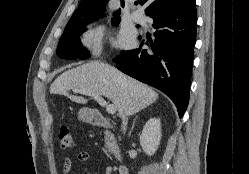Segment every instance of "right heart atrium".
Here are the masks:
<instances>
[{
	"instance_id": "obj_1",
	"label": "right heart atrium",
	"mask_w": 249,
	"mask_h": 174,
	"mask_svg": "<svg viewBox=\"0 0 249 174\" xmlns=\"http://www.w3.org/2000/svg\"><path fill=\"white\" fill-rule=\"evenodd\" d=\"M104 28L99 25L88 29L81 37L82 45L93 54H98L102 48Z\"/></svg>"
}]
</instances>
